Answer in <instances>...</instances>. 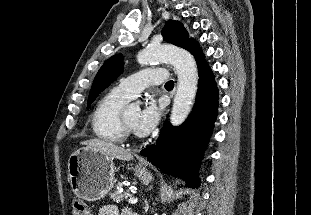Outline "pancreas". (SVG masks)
Wrapping results in <instances>:
<instances>
[{"label": "pancreas", "mask_w": 311, "mask_h": 215, "mask_svg": "<svg viewBox=\"0 0 311 215\" xmlns=\"http://www.w3.org/2000/svg\"><path fill=\"white\" fill-rule=\"evenodd\" d=\"M123 188V184L121 183H118L117 184V189L116 190H113L111 193H110V197L111 199H113L114 202H121L123 201L124 198H126L129 194L127 192H120L119 190Z\"/></svg>", "instance_id": "1"}]
</instances>
